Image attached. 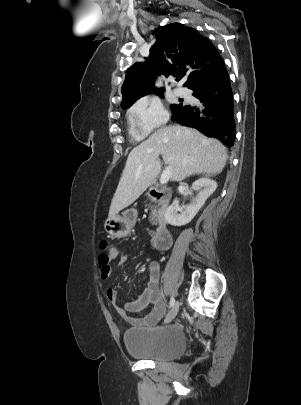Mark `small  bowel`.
Wrapping results in <instances>:
<instances>
[{
    "label": "small bowel",
    "instance_id": "c3829d8e",
    "mask_svg": "<svg viewBox=\"0 0 301 405\" xmlns=\"http://www.w3.org/2000/svg\"><path fill=\"white\" fill-rule=\"evenodd\" d=\"M153 237L154 232H151ZM168 249V248H167ZM161 252L166 249H158ZM117 260L120 265L126 262L125 254L117 248L111 247L107 257L99 258V273L106 280L112 271L111 262ZM159 264L152 261L148 266L147 286L137 301L119 303L116 292L112 288L106 290L108 300L113 304L118 314L135 326H151L156 324L166 312V302L160 294Z\"/></svg>",
    "mask_w": 301,
    "mask_h": 405
}]
</instances>
